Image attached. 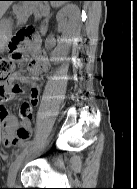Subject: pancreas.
Returning <instances> with one entry per match:
<instances>
[{
	"label": "pancreas",
	"mask_w": 137,
	"mask_h": 189,
	"mask_svg": "<svg viewBox=\"0 0 137 189\" xmlns=\"http://www.w3.org/2000/svg\"><path fill=\"white\" fill-rule=\"evenodd\" d=\"M29 12L30 9L27 7L15 6L14 13L16 14L17 23L20 24L22 21H24L25 18H27Z\"/></svg>",
	"instance_id": "1"
}]
</instances>
